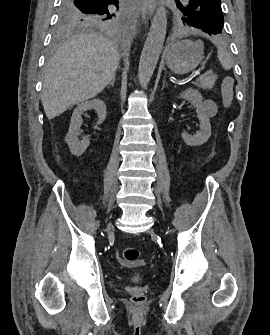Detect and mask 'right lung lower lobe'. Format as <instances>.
Wrapping results in <instances>:
<instances>
[{"mask_svg": "<svg viewBox=\"0 0 270 335\" xmlns=\"http://www.w3.org/2000/svg\"><path fill=\"white\" fill-rule=\"evenodd\" d=\"M119 3H125V2H122L121 0H119Z\"/></svg>", "mask_w": 270, "mask_h": 335, "instance_id": "1", "label": "right lung lower lobe"}]
</instances>
